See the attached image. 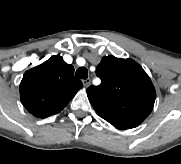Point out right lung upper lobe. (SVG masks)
<instances>
[{"instance_id":"cb5924a9","label":"right lung upper lobe","mask_w":181,"mask_h":164,"mask_svg":"<svg viewBox=\"0 0 181 164\" xmlns=\"http://www.w3.org/2000/svg\"><path fill=\"white\" fill-rule=\"evenodd\" d=\"M83 87L74 76V67L54 55L25 72L20 83V98L34 116L45 118L60 112Z\"/></svg>"}]
</instances>
